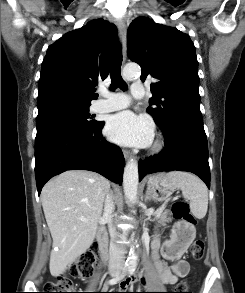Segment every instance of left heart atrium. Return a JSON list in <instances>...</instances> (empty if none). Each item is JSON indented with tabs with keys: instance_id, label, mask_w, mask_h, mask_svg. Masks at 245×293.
Returning <instances> with one entry per match:
<instances>
[{
	"instance_id": "1",
	"label": "left heart atrium",
	"mask_w": 245,
	"mask_h": 293,
	"mask_svg": "<svg viewBox=\"0 0 245 293\" xmlns=\"http://www.w3.org/2000/svg\"><path fill=\"white\" fill-rule=\"evenodd\" d=\"M105 133L115 143L144 147L152 141L153 124L145 116L123 111L108 118Z\"/></svg>"
}]
</instances>
